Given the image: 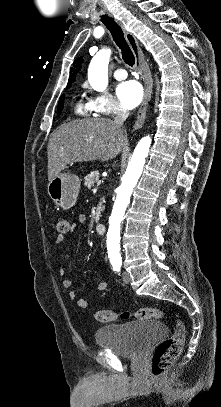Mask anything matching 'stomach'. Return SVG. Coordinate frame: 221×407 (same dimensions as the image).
<instances>
[{
  "mask_svg": "<svg viewBox=\"0 0 221 407\" xmlns=\"http://www.w3.org/2000/svg\"><path fill=\"white\" fill-rule=\"evenodd\" d=\"M80 185L77 175L62 171L49 182L47 191L56 205L67 210L76 204Z\"/></svg>",
  "mask_w": 221,
  "mask_h": 407,
  "instance_id": "obj_1",
  "label": "stomach"
}]
</instances>
